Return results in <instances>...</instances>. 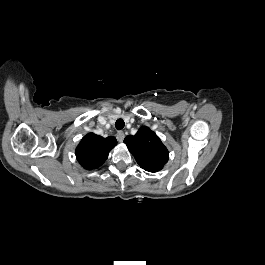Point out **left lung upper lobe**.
I'll return each mask as SVG.
<instances>
[{
  "label": "left lung upper lobe",
  "mask_w": 265,
  "mask_h": 265,
  "mask_svg": "<svg viewBox=\"0 0 265 265\" xmlns=\"http://www.w3.org/2000/svg\"><path fill=\"white\" fill-rule=\"evenodd\" d=\"M124 143L140 167L146 171L157 172L168 162L167 148L147 127H141L135 135L126 136Z\"/></svg>",
  "instance_id": "1"
}]
</instances>
